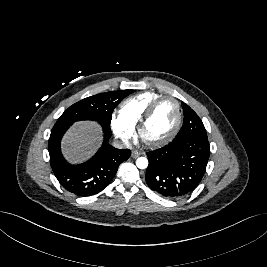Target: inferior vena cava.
<instances>
[{"label":"inferior vena cava","mask_w":267,"mask_h":267,"mask_svg":"<svg viewBox=\"0 0 267 267\" xmlns=\"http://www.w3.org/2000/svg\"><path fill=\"white\" fill-rule=\"evenodd\" d=\"M113 146L118 149H124L129 147V142L126 140H114Z\"/></svg>","instance_id":"602c4592"}]
</instances>
